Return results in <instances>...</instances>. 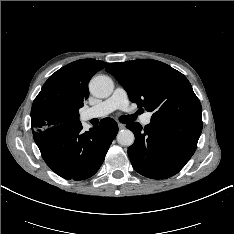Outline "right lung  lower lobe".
<instances>
[{
  "label": "right lung lower lobe",
  "mask_w": 234,
  "mask_h": 234,
  "mask_svg": "<svg viewBox=\"0 0 234 234\" xmlns=\"http://www.w3.org/2000/svg\"><path fill=\"white\" fill-rule=\"evenodd\" d=\"M81 122L51 126L33 132L46 164L65 179L84 180L93 176L118 133L112 118L82 131Z\"/></svg>",
  "instance_id": "right-lung-lower-lobe-1"
}]
</instances>
